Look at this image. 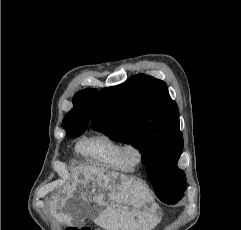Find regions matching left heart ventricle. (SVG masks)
<instances>
[{"label": "left heart ventricle", "instance_id": "1", "mask_svg": "<svg viewBox=\"0 0 241 230\" xmlns=\"http://www.w3.org/2000/svg\"><path fill=\"white\" fill-rule=\"evenodd\" d=\"M129 159L131 162H135L137 160V155L135 153H132L130 156H129Z\"/></svg>", "mask_w": 241, "mask_h": 230}]
</instances>
